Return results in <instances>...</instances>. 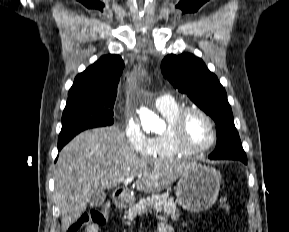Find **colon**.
Segmentation results:
<instances>
[{
    "label": "colon",
    "mask_w": 289,
    "mask_h": 232,
    "mask_svg": "<svg viewBox=\"0 0 289 232\" xmlns=\"http://www.w3.org/2000/svg\"><path fill=\"white\" fill-rule=\"evenodd\" d=\"M220 206L227 213L230 212L231 206L226 198L220 200ZM108 209H91L82 213L68 228L67 232H79L83 227L88 225L103 226L107 222Z\"/></svg>",
    "instance_id": "5ec220e1"
}]
</instances>
